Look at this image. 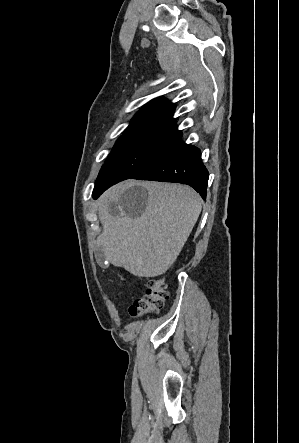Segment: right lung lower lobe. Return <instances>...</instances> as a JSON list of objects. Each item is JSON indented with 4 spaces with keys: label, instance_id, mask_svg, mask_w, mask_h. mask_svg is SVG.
<instances>
[{
    "label": "right lung lower lobe",
    "instance_id": "1",
    "mask_svg": "<svg viewBox=\"0 0 299 443\" xmlns=\"http://www.w3.org/2000/svg\"><path fill=\"white\" fill-rule=\"evenodd\" d=\"M208 176L200 150L193 145L184 144L180 138L167 152L131 178L187 184L205 199ZM109 187L93 193V197L98 198Z\"/></svg>",
    "mask_w": 299,
    "mask_h": 443
}]
</instances>
